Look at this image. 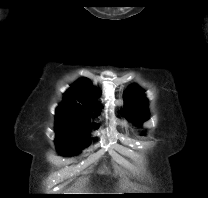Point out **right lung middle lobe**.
<instances>
[{"instance_id":"right-lung-middle-lobe-1","label":"right lung middle lobe","mask_w":208,"mask_h":198,"mask_svg":"<svg viewBox=\"0 0 208 198\" xmlns=\"http://www.w3.org/2000/svg\"><path fill=\"white\" fill-rule=\"evenodd\" d=\"M88 122L56 118V148L60 155H76L88 144Z\"/></svg>"}]
</instances>
